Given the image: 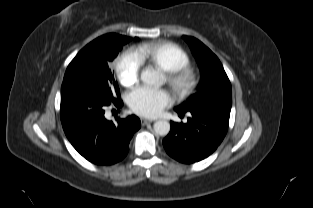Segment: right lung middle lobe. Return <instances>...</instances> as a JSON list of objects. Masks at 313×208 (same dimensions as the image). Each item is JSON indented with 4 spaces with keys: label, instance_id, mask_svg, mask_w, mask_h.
Returning a JSON list of instances; mask_svg holds the SVG:
<instances>
[{
    "label": "right lung middle lobe",
    "instance_id": "right-lung-middle-lobe-1",
    "mask_svg": "<svg viewBox=\"0 0 313 208\" xmlns=\"http://www.w3.org/2000/svg\"><path fill=\"white\" fill-rule=\"evenodd\" d=\"M130 40L111 33L86 45L68 65L62 86L73 84L108 101L119 98V87L110 64Z\"/></svg>",
    "mask_w": 313,
    "mask_h": 208
}]
</instances>
